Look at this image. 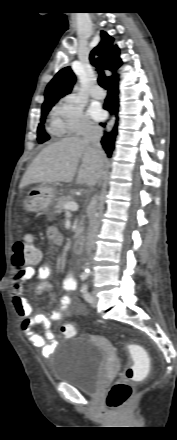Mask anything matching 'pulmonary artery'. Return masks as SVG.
Returning <instances> with one entry per match:
<instances>
[{"label": "pulmonary artery", "instance_id": "pulmonary-artery-1", "mask_svg": "<svg viewBox=\"0 0 177 440\" xmlns=\"http://www.w3.org/2000/svg\"><path fill=\"white\" fill-rule=\"evenodd\" d=\"M91 96L95 99H102L104 97V92L100 87H96L91 91Z\"/></svg>", "mask_w": 177, "mask_h": 440}]
</instances>
